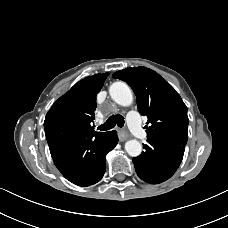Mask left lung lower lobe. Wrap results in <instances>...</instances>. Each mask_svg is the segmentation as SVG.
I'll list each match as a JSON object with an SVG mask.
<instances>
[{
	"label": "left lung lower lobe",
	"mask_w": 228,
	"mask_h": 228,
	"mask_svg": "<svg viewBox=\"0 0 228 228\" xmlns=\"http://www.w3.org/2000/svg\"><path fill=\"white\" fill-rule=\"evenodd\" d=\"M145 149L133 158L138 176L145 182L158 184L169 179L179 167L185 145L166 137H147Z\"/></svg>",
	"instance_id": "0a47b994"
}]
</instances>
